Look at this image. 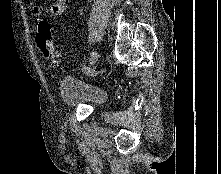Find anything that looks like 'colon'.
<instances>
[{"label": "colon", "instance_id": "5ec220e1", "mask_svg": "<svg viewBox=\"0 0 221 174\" xmlns=\"http://www.w3.org/2000/svg\"><path fill=\"white\" fill-rule=\"evenodd\" d=\"M36 42L44 57L56 63L60 53L54 44L52 27L46 20H40L37 24Z\"/></svg>", "mask_w": 221, "mask_h": 174}]
</instances>
